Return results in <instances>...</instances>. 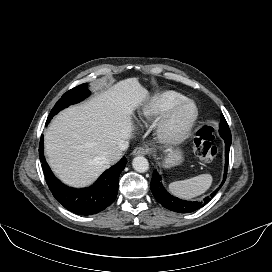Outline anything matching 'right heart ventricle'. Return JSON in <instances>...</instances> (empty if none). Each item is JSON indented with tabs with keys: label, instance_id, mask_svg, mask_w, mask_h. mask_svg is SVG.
Instances as JSON below:
<instances>
[{
	"label": "right heart ventricle",
	"instance_id": "right-heart-ventricle-1",
	"mask_svg": "<svg viewBox=\"0 0 272 272\" xmlns=\"http://www.w3.org/2000/svg\"><path fill=\"white\" fill-rule=\"evenodd\" d=\"M186 99L179 92L168 90L151 96L141 107L138 120L143 123L159 119L173 104Z\"/></svg>",
	"mask_w": 272,
	"mask_h": 272
}]
</instances>
